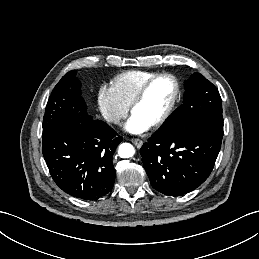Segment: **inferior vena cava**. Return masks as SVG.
Listing matches in <instances>:
<instances>
[{
    "label": "inferior vena cava",
    "mask_w": 259,
    "mask_h": 259,
    "mask_svg": "<svg viewBox=\"0 0 259 259\" xmlns=\"http://www.w3.org/2000/svg\"><path fill=\"white\" fill-rule=\"evenodd\" d=\"M110 122H113L115 124H118L120 122V118L115 116L109 119Z\"/></svg>",
    "instance_id": "obj_1"
}]
</instances>
